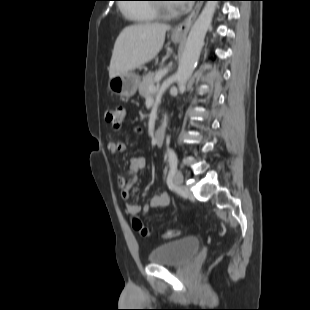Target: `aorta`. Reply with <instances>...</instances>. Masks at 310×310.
I'll return each mask as SVG.
<instances>
[{"instance_id": "obj_1", "label": "aorta", "mask_w": 310, "mask_h": 310, "mask_svg": "<svg viewBox=\"0 0 310 310\" xmlns=\"http://www.w3.org/2000/svg\"><path fill=\"white\" fill-rule=\"evenodd\" d=\"M217 1H207L202 12L193 24L186 42V46L176 73V80L180 87L186 85L199 59L204 38L214 16Z\"/></svg>"}]
</instances>
